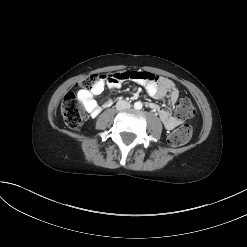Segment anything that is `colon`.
<instances>
[{"label":"colon","mask_w":247,"mask_h":247,"mask_svg":"<svg viewBox=\"0 0 247 247\" xmlns=\"http://www.w3.org/2000/svg\"><path fill=\"white\" fill-rule=\"evenodd\" d=\"M103 78H106V76L93 74L82 80L79 86L84 90H91ZM61 113L66 125L71 129H78L87 117L85 106L73 92H69L64 97L61 104ZM175 113L177 118L185 120L195 115V109L191 101L183 97L178 100ZM190 137L191 128L188 125H182L168 136V143L172 146H181L188 142Z\"/></svg>","instance_id":"1"}]
</instances>
